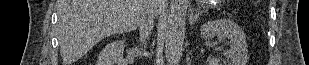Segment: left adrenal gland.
Instances as JSON below:
<instances>
[{
    "instance_id": "1",
    "label": "left adrenal gland",
    "mask_w": 309,
    "mask_h": 65,
    "mask_svg": "<svg viewBox=\"0 0 309 65\" xmlns=\"http://www.w3.org/2000/svg\"><path fill=\"white\" fill-rule=\"evenodd\" d=\"M202 15V13H193L190 15L189 23L191 26H193L196 21L199 19V17Z\"/></svg>"
}]
</instances>
